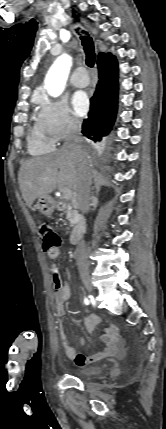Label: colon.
<instances>
[{"label": "colon", "mask_w": 166, "mask_h": 429, "mask_svg": "<svg viewBox=\"0 0 166 429\" xmlns=\"http://www.w3.org/2000/svg\"><path fill=\"white\" fill-rule=\"evenodd\" d=\"M40 237L43 244V249L49 252L58 248L62 244L60 235L53 230L48 222H42L40 225Z\"/></svg>", "instance_id": "1"}]
</instances>
